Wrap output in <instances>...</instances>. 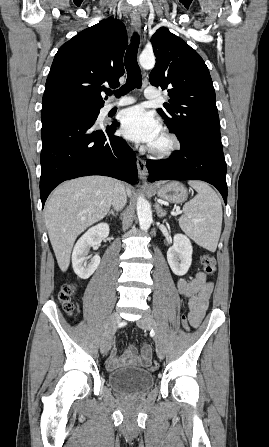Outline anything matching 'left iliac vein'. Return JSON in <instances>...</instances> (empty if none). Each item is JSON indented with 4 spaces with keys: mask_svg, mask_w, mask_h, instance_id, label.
I'll list each match as a JSON object with an SVG mask.
<instances>
[{
    "mask_svg": "<svg viewBox=\"0 0 269 447\" xmlns=\"http://www.w3.org/2000/svg\"><path fill=\"white\" fill-rule=\"evenodd\" d=\"M137 325L140 328H153L156 331L155 335V342H156V352L157 356L160 359L164 358L165 355V348H164V342L162 338V334L158 328V325L154 318L151 315H145L144 317L137 320Z\"/></svg>",
    "mask_w": 269,
    "mask_h": 447,
    "instance_id": "4c4485c4",
    "label": "left iliac vein"
}]
</instances>
